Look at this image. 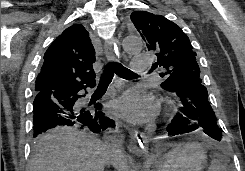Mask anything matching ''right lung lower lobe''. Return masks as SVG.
I'll return each instance as SVG.
<instances>
[{"label":"right lung lower lobe","instance_id":"obj_1","mask_svg":"<svg viewBox=\"0 0 245 171\" xmlns=\"http://www.w3.org/2000/svg\"><path fill=\"white\" fill-rule=\"evenodd\" d=\"M87 87L93 88L95 84L38 92L33 104L34 137L58 125H79L89 128L94 133L114 127V121L101 110V104L80 103V99L87 93H84Z\"/></svg>","mask_w":245,"mask_h":171}]
</instances>
